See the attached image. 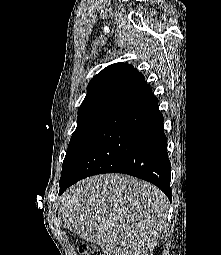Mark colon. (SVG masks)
<instances>
[{
  "label": "colon",
  "mask_w": 221,
  "mask_h": 255,
  "mask_svg": "<svg viewBox=\"0 0 221 255\" xmlns=\"http://www.w3.org/2000/svg\"><path fill=\"white\" fill-rule=\"evenodd\" d=\"M81 255H103L99 250L89 247L88 245L80 246Z\"/></svg>",
  "instance_id": "1"
}]
</instances>
